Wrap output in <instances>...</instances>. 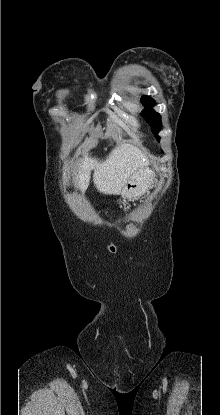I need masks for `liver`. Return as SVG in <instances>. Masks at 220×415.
<instances>
[{
	"mask_svg": "<svg viewBox=\"0 0 220 415\" xmlns=\"http://www.w3.org/2000/svg\"><path fill=\"white\" fill-rule=\"evenodd\" d=\"M142 152L131 144H122L113 149L105 160L85 155L81 159L76 178L77 187L84 193L94 170L93 182L100 193L120 194L133 173L145 165Z\"/></svg>",
	"mask_w": 220,
	"mask_h": 415,
	"instance_id": "liver-1",
	"label": "liver"
}]
</instances>
